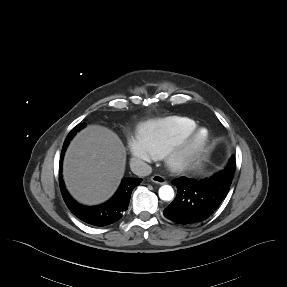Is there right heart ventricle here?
Returning a JSON list of instances; mask_svg holds the SVG:
<instances>
[{"label":"right heart ventricle","mask_w":287,"mask_h":287,"mask_svg":"<svg viewBox=\"0 0 287 287\" xmlns=\"http://www.w3.org/2000/svg\"><path fill=\"white\" fill-rule=\"evenodd\" d=\"M195 128V121L188 117L166 116L144 122L141 134L149 141L156 157H162Z\"/></svg>","instance_id":"e07e8e85"}]
</instances>
